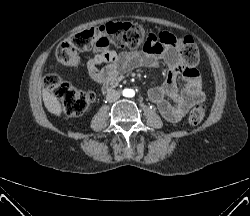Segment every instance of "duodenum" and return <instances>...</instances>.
Here are the masks:
<instances>
[{
  "mask_svg": "<svg viewBox=\"0 0 250 216\" xmlns=\"http://www.w3.org/2000/svg\"><path fill=\"white\" fill-rule=\"evenodd\" d=\"M116 85H117L116 80H109L106 83H104L103 91L108 92V91L112 90Z\"/></svg>",
  "mask_w": 250,
  "mask_h": 216,
  "instance_id": "1",
  "label": "duodenum"
}]
</instances>
